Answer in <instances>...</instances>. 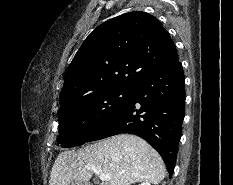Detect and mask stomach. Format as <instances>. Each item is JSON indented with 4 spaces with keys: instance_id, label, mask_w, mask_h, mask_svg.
Segmentation results:
<instances>
[{
    "instance_id": "0dacf381",
    "label": "stomach",
    "mask_w": 233,
    "mask_h": 185,
    "mask_svg": "<svg viewBox=\"0 0 233 185\" xmlns=\"http://www.w3.org/2000/svg\"><path fill=\"white\" fill-rule=\"evenodd\" d=\"M69 185H87V184L84 183V182L73 181V182H71Z\"/></svg>"
}]
</instances>
